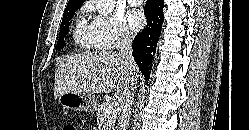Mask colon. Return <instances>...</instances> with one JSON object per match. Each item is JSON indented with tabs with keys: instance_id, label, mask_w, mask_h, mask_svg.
I'll use <instances>...</instances> for the list:
<instances>
[{
	"instance_id": "colon-1",
	"label": "colon",
	"mask_w": 249,
	"mask_h": 130,
	"mask_svg": "<svg viewBox=\"0 0 249 130\" xmlns=\"http://www.w3.org/2000/svg\"><path fill=\"white\" fill-rule=\"evenodd\" d=\"M62 130H77V129H76V127H75L74 124H72V123H66L63 126Z\"/></svg>"
}]
</instances>
